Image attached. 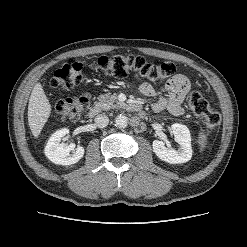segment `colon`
Segmentation results:
<instances>
[{"label":"colon","mask_w":247,"mask_h":247,"mask_svg":"<svg viewBox=\"0 0 247 247\" xmlns=\"http://www.w3.org/2000/svg\"><path fill=\"white\" fill-rule=\"evenodd\" d=\"M82 63H67L57 69L51 79V86L55 89L67 91L78 84H86L89 80L83 72ZM93 71L107 77L125 78L130 73L150 81L165 79L172 72L170 64H153L141 56H101L91 65ZM88 94L62 98L57 101L55 110L64 119H77L89 107ZM189 108L198 116L204 118L208 128H217L221 123V116L212 110L207 100L198 92H193L188 99Z\"/></svg>","instance_id":"colon-1"}]
</instances>
